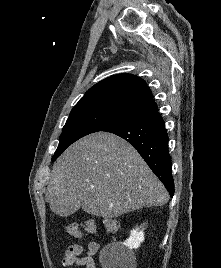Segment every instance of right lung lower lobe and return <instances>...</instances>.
I'll return each mask as SVG.
<instances>
[{"label":"right lung lower lobe","instance_id":"obj_1","mask_svg":"<svg viewBox=\"0 0 221 268\" xmlns=\"http://www.w3.org/2000/svg\"><path fill=\"white\" fill-rule=\"evenodd\" d=\"M105 131L114 133L132 144L162 181L171 197L173 196L174 180L168 151L169 139L164 120L158 111L121 122Z\"/></svg>","mask_w":221,"mask_h":268}]
</instances>
